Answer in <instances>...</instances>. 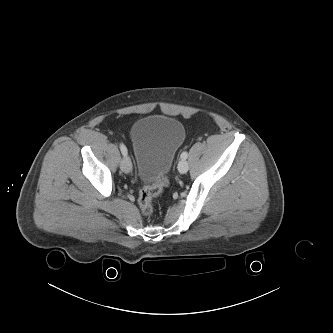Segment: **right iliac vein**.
Listing matches in <instances>:
<instances>
[{"mask_svg": "<svg viewBox=\"0 0 333 333\" xmlns=\"http://www.w3.org/2000/svg\"><path fill=\"white\" fill-rule=\"evenodd\" d=\"M120 168L126 174H128V173H130L132 171V163H131V160H130V158L128 156H125L121 160Z\"/></svg>", "mask_w": 333, "mask_h": 333, "instance_id": "63e3f726", "label": "right iliac vein"}]
</instances>
